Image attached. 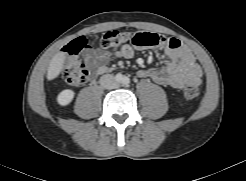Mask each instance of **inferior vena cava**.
<instances>
[{
  "mask_svg": "<svg viewBox=\"0 0 246 181\" xmlns=\"http://www.w3.org/2000/svg\"><path fill=\"white\" fill-rule=\"evenodd\" d=\"M100 84L103 88L106 89H114L118 86V83L112 74H106L101 76Z\"/></svg>",
  "mask_w": 246,
  "mask_h": 181,
  "instance_id": "obj_1",
  "label": "inferior vena cava"
}]
</instances>
